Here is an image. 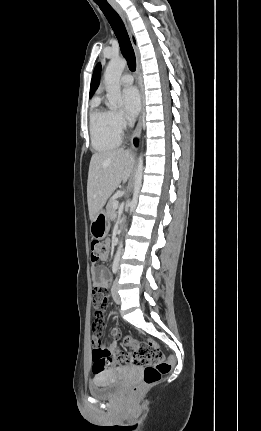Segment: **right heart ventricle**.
Here are the masks:
<instances>
[{"label":"right heart ventricle","instance_id":"1","mask_svg":"<svg viewBox=\"0 0 261 431\" xmlns=\"http://www.w3.org/2000/svg\"><path fill=\"white\" fill-rule=\"evenodd\" d=\"M90 134L92 146L96 151L109 152L121 142V134L111 123L110 111L101 107L98 100L90 113Z\"/></svg>","mask_w":261,"mask_h":431}]
</instances>
